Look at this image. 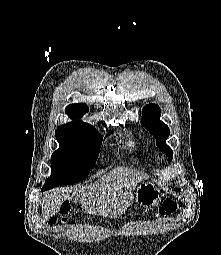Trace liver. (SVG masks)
Returning a JSON list of instances; mask_svg holds the SVG:
<instances>
[{
    "label": "liver",
    "mask_w": 221,
    "mask_h": 255,
    "mask_svg": "<svg viewBox=\"0 0 221 255\" xmlns=\"http://www.w3.org/2000/svg\"><path fill=\"white\" fill-rule=\"evenodd\" d=\"M142 179L131 168L117 167L93 184L49 191L42 198L43 221L49 220L60 210L64 201L76 195L86 213L115 218L132 203L133 191Z\"/></svg>",
    "instance_id": "liver-1"
}]
</instances>
